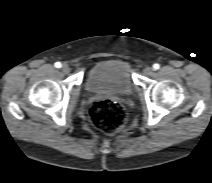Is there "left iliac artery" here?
I'll return each instance as SVG.
<instances>
[{
  "label": "left iliac artery",
  "instance_id": "obj_1",
  "mask_svg": "<svg viewBox=\"0 0 212 183\" xmlns=\"http://www.w3.org/2000/svg\"><path fill=\"white\" fill-rule=\"evenodd\" d=\"M159 68H160V65L159 64L156 63V64L153 65V69L154 70H158Z\"/></svg>",
  "mask_w": 212,
  "mask_h": 183
}]
</instances>
